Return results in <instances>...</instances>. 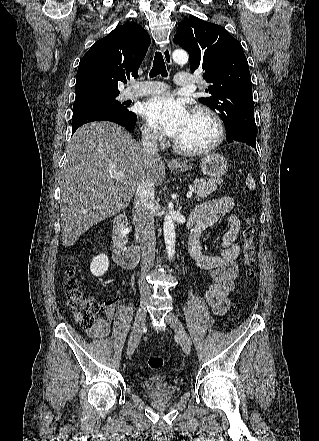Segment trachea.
<instances>
[{"instance_id": "3493384b", "label": "trachea", "mask_w": 319, "mask_h": 441, "mask_svg": "<svg viewBox=\"0 0 319 441\" xmlns=\"http://www.w3.org/2000/svg\"><path fill=\"white\" fill-rule=\"evenodd\" d=\"M159 74H161L163 77H167L168 75L161 52H156L153 61V67L150 71V77H155Z\"/></svg>"}]
</instances>
